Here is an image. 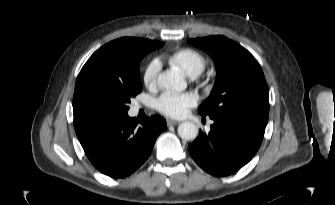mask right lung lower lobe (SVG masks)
Here are the masks:
<instances>
[{"label":"right lung lower lobe","instance_id":"98d812e1","mask_svg":"<svg viewBox=\"0 0 335 205\" xmlns=\"http://www.w3.org/2000/svg\"><path fill=\"white\" fill-rule=\"evenodd\" d=\"M166 128L159 115L146 117L140 125L127 115L75 127L91 163L102 173L122 178L137 170L149 157L158 135Z\"/></svg>","mask_w":335,"mask_h":205}]
</instances>
